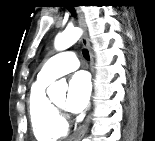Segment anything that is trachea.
I'll return each mask as SVG.
<instances>
[{"instance_id":"3493384b","label":"trachea","mask_w":155,"mask_h":141,"mask_svg":"<svg viewBox=\"0 0 155 141\" xmlns=\"http://www.w3.org/2000/svg\"><path fill=\"white\" fill-rule=\"evenodd\" d=\"M83 56L86 60H89L90 59V56H89V52L87 49H84L83 50Z\"/></svg>"}]
</instances>
